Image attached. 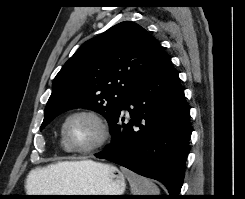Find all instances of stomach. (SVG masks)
I'll list each match as a JSON object with an SVG mask.
<instances>
[{"instance_id":"stomach-1","label":"stomach","mask_w":245,"mask_h":199,"mask_svg":"<svg viewBox=\"0 0 245 199\" xmlns=\"http://www.w3.org/2000/svg\"><path fill=\"white\" fill-rule=\"evenodd\" d=\"M66 190L49 195H122L125 175L109 164L92 162L74 170L66 183ZM102 196L51 197L50 199H102Z\"/></svg>"}]
</instances>
